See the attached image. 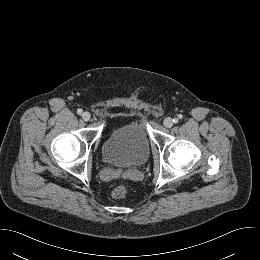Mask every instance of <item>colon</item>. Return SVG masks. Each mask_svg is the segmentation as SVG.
<instances>
[{"label":"colon","mask_w":260,"mask_h":260,"mask_svg":"<svg viewBox=\"0 0 260 260\" xmlns=\"http://www.w3.org/2000/svg\"><path fill=\"white\" fill-rule=\"evenodd\" d=\"M128 193V187L126 185H119L115 187L112 191V198L115 200H120L124 198Z\"/></svg>","instance_id":"5ec220e1"}]
</instances>
